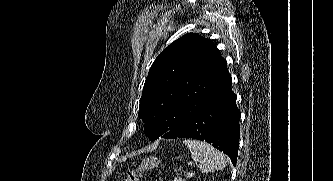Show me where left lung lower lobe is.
I'll return each instance as SVG.
<instances>
[{"mask_svg":"<svg viewBox=\"0 0 333 181\" xmlns=\"http://www.w3.org/2000/svg\"><path fill=\"white\" fill-rule=\"evenodd\" d=\"M232 78L227 73L210 96L193 114L181 120H173L175 133L162 138H194L206 141L227 154L236 166L240 138V110L236 95L231 89Z\"/></svg>","mask_w":333,"mask_h":181,"instance_id":"0a47b994","label":"left lung lower lobe"}]
</instances>
